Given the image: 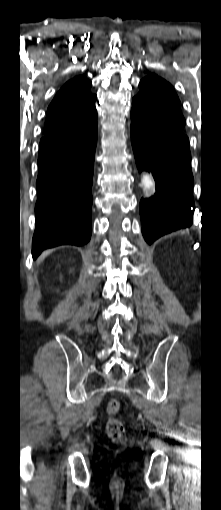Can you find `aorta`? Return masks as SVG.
<instances>
[{"mask_svg":"<svg viewBox=\"0 0 221 510\" xmlns=\"http://www.w3.org/2000/svg\"><path fill=\"white\" fill-rule=\"evenodd\" d=\"M145 191H149L153 186V180L150 176L144 175L141 179Z\"/></svg>","mask_w":221,"mask_h":510,"instance_id":"obj_1","label":"aorta"}]
</instances>
